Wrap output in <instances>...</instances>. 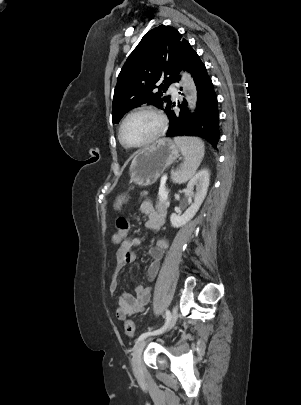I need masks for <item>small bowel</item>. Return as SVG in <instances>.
Returning a JSON list of instances; mask_svg holds the SVG:
<instances>
[{
	"mask_svg": "<svg viewBox=\"0 0 301 405\" xmlns=\"http://www.w3.org/2000/svg\"><path fill=\"white\" fill-rule=\"evenodd\" d=\"M138 211L147 217L145 223L147 229L155 232L162 229L165 222L164 214L156 210L150 201L142 202ZM141 244L142 240L138 237L132 239L124 237V241L116 252V260L110 278L109 290L111 297L118 303L116 316L119 319H125L127 316L141 312L150 301L151 291L148 286H136L134 295L118 289V274L121 268L126 264L136 261L137 254L135 248L139 247ZM167 247L168 242L164 238H158L155 241V245L149 249V256L151 258L147 269V278L149 280H153L157 276L161 259Z\"/></svg>",
	"mask_w": 301,
	"mask_h": 405,
	"instance_id": "1",
	"label": "small bowel"
}]
</instances>
